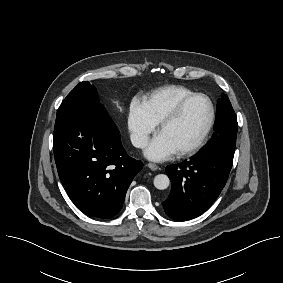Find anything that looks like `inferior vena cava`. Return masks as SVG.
<instances>
[{"label": "inferior vena cava", "instance_id": "obj_1", "mask_svg": "<svg viewBox=\"0 0 283 283\" xmlns=\"http://www.w3.org/2000/svg\"><path fill=\"white\" fill-rule=\"evenodd\" d=\"M148 137L141 134H132L131 142L137 148H144L147 144Z\"/></svg>", "mask_w": 283, "mask_h": 283}]
</instances>
